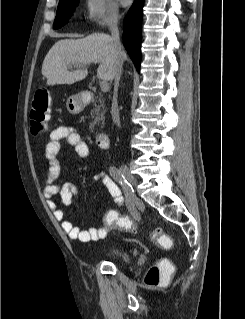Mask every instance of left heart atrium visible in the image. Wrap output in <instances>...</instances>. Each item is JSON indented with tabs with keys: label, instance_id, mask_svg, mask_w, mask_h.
Wrapping results in <instances>:
<instances>
[{
	"label": "left heart atrium",
	"instance_id": "1",
	"mask_svg": "<svg viewBox=\"0 0 245 319\" xmlns=\"http://www.w3.org/2000/svg\"><path fill=\"white\" fill-rule=\"evenodd\" d=\"M119 1L122 5L126 6L130 3L131 0H119Z\"/></svg>",
	"mask_w": 245,
	"mask_h": 319
}]
</instances>
